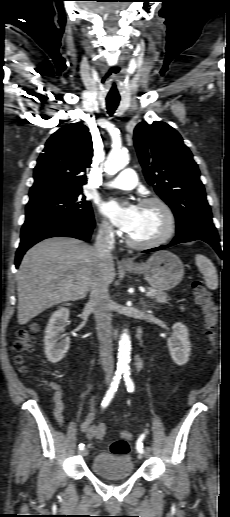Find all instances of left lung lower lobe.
Here are the masks:
<instances>
[{
	"label": "left lung lower lobe",
	"mask_w": 230,
	"mask_h": 517,
	"mask_svg": "<svg viewBox=\"0 0 230 517\" xmlns=\"http://www.w3.org/2000/svg\"><path fill=\"white\" fill-rule=\"evenodd\" d=\"M195 240H202L210 244L216 252L219 254L220 257H222V250L219 245V237L217 234V230L213 223L205 224L201 227L195 228L193 231L183 234V235H177V237L174 238V240L170 243L171 245H176L178 243H184V242H190ZM168 246H159L153 249L145 250L144 252H151V251H157L164 248H167Z\"/></svg>",
	"instance_id": "left-lung-lower-lobe-1"
}]
</instances>
